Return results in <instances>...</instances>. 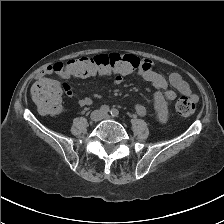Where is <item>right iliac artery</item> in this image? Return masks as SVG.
<instances>
[{
	"label": "right iliac artery",
	"instance_id": "82829eb1",
	"mask_svg": "<svg viewBox=\"0 0 224 224\" xmlns=\"http://www.w3.org/2000/svg\"><path fill=\"white\" fill-rule=\"evenodd\" d=\"M109 111H110V108L107 105H102L100 107V112L103 113V114H107Z\"/></svg>",
	"mask_w": 224,
	"mask_h": 224
}]
</instances>
